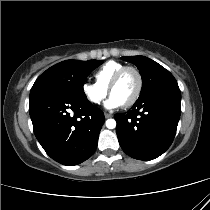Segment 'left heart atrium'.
Segmentation results:
<instances>
[{"instance_id": "left-heart-atrium-1", "label": "left heart atrium", "mask_w": 210, "mask_h": 210, "mask_svg": "<svg viewBox=\"0 0 210 210\" xmlns=\"http://www.w3.org/2000/svg\"><path fill=\"white\" fill-rule=\"evenodd\" d=\"M123 105V103L116 97L111 95L109 99L105 102V107L108 109H116Z\"/></svg>"}]
</instances>
